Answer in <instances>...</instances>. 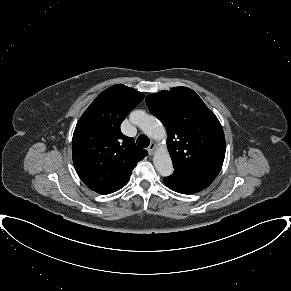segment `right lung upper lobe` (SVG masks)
<instances>
[{"label": "right lung upper lobe", "instance_id": "obj_1", "mask_svg": "<svg viewBox=\"0 0 291 291\" xmlns=\"http://www.w3.org/2000/svg\"><path fill=\"white\" fill-rule=\"evenodd\" d=\"M143 98L141 92L116 84L101 92L79 119L72 139L73 163L91 190L100 194L120 190L136 164L148 155L120 130Z\"/></svg>", "mask_w": 291, "mask_h": 291}]
</instances>
